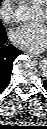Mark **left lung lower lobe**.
Returning a JSON list of instances; mask_svg holds the SVG:
<instances>
[{
  "label": "left lung lower lobe",
  "mask_w": 47,
  "mask_h": 129,
  "mask_svg": "<svg viewBox=\"0 0 47 129\" xmlns=\"http://www.w3.org/2000/svg\"><path fill=\"white\" fill-rule=\"evenodd\" d=\"M43 83H44V87H45L46 90H47V80H45Z\"/></svg>",
  "instance_id": "0a47b994"
}]
</instances>
